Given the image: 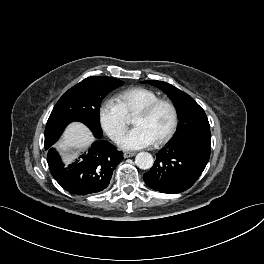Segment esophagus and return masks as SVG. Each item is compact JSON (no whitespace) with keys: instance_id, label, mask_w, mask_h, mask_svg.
<instances>
[{"instance_id":"34e87169","label":"esophagus","mask_w":264,"mask_h":264,"mask_svg":"<svg viewBox=\"0 0 264 264\" xmlns=\"http://www.w3.org/2000/svg\"><path fill=\"white\" fill-rule=\"evenodd\" d=\"M135 155H136V152H125L124 153V158L133 157Z\"/></svg>"}]
</instances>
